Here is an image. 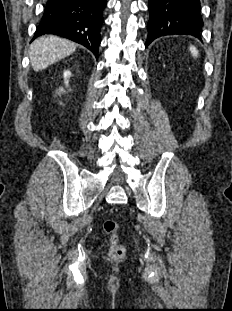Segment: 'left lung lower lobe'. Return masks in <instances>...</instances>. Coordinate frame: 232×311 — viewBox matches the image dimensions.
<instances>
[{
	"instance_id": "obj_1",
	"label": "left lung lower lobe",
	"mask_w": 232,
	"mask_h": 311,
	"mask_svg": "<svg viewBox=\"0 0 232 311\" xmlns=\"http://www.w3.org/2000/svg\"><path fill=\"white\" fill-rule=\"evenodd\" d=\"M148 8L146 46L165 35L186 34L200 39L203 21L199 0H149Z\"/></svg>"
}]
</instances>
